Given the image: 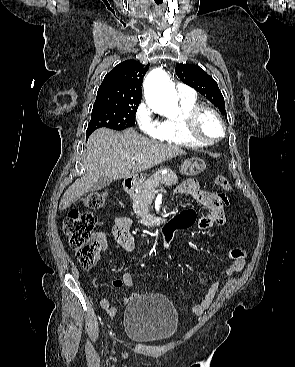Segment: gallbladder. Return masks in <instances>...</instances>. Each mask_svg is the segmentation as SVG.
<instances>
[{"label": "gallbladder", "instance_id": "bac80fb5", "mask_svg": "<svg viewBox=\"0 0 295 367\" xmlns=\"http://www.w3.org/2000/svg\"><path fill=\"white\" fill-rule=\"evenodd\" d=\"M112 182L109 178H101L96 183H94L89 189L90 192L100 190L102 188L107 187Z\"/></svg>", "mask_w": 295, "mask_h": 367}]
</instances>
